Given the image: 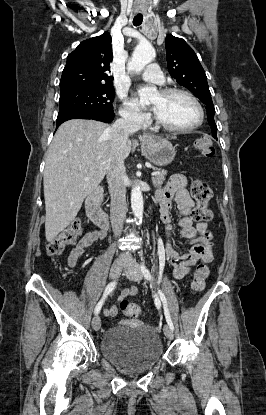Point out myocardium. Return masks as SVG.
<instances>
[{
    "label": "myocardium",
    "instance_id": "f54148a6",
    "mask_svg": "<svg viewBox=\"0 0 266 415\" xmlns=\"http://www.w3.org/2000/svg\"><path fill=\"white\" fill-rule=\"evenodd\" d=\"M160 94H162L163 96H171V95H175V94H181V95L186 96L196 106V108L198 110V113H199V117H198L197 122L195 124L191 125V126H188V127H175V126H171V125L165 123L155 113L154 114V120H155V124H156L157 127L161 128L165 131L172 132V133H186V132H190V131H193V130L199 128L203 124L204 118H205L204 109H203L201 103L199 102V100L191 92H189L185 89H182V88L169 87V88L161 89Z\"/></svg>",
    "mask_w": 266,
    "mask_h": 415
}]
</instances>
